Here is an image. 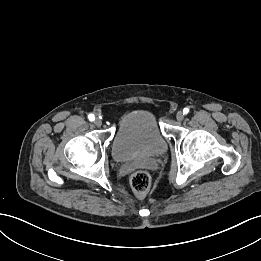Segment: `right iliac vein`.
Instances as JSON below:
<instances>
[{
  "instance_id": "obj_1",
  "label": "right iliac vein",
  "mask_w": 261,
  "mask_h": 261,
  "mask_svg": "<svg viewBox=\"0 0 261 261\" xmlns=\"http://www.w3.org/2000/svg\"><path fill=\"white\" fill-rule=\"evenodd\" d=\"M94 125L97 126V127H101V125H102L101 119L97 118V119L94 121Z\"/></svg>"
}]
</instances>
